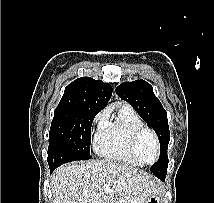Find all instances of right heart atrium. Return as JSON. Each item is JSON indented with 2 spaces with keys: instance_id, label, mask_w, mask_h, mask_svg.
<instances>
[{
  "instance_id": "1",
  "label": "right heart atrium",
  "mask_w": 214,
  "mask_h": 203,
  "mask_svg": "<svg viewBox=\"0 0 214 203\" xmlns=\"http://www.w3.org/2000/svg\"><path fill=\"white\" fill-rule=\"evenodd\" d=\"M103 121H104V114L103 113L97 114L93 119V123L98 125L99 127L102 125Z\"/></svg>"
}]
</instances>
